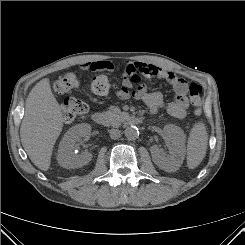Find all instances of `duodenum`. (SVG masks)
Returning <instances> with one entry per match:
<instances>
[{"instance_id":"1","label":"duodenum","mask_w":245,"mask_h":245,"mask_svg":"<svg viewBox=\"0 0 245 245\" xmlns=\"http://www.w3.org/2000/svg\"><path fill=\"white\" fill-rule=\"evenodd\" d=\"M91 118L98 125H104L106 123V117L101 112H94ZM126 122L130 125H139L142 123V119L137 116H129L126 118Z\"/></svg>"}]
</instances>
